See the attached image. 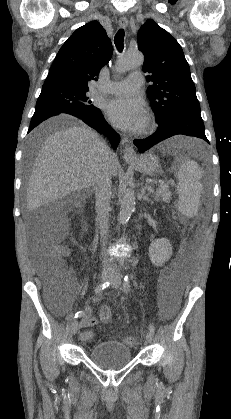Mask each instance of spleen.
I'll return each instance as SVG.
<instances>
[{"mask_svg": "<svg viewBox=\"0 0 231 419\" xmlns=\"http://www.w3.org/2000/svg\"><path fill=\"white\" fill-rule=\"evenodd\" d=\"M179 194L178 208L186 217H193L198 212L199 199L202 192L201 170L198 164L185 158L177 172Z\"/></svg>", "mask_w": 231, "mask_h": 419, "instance_id": "obj_1", "label": "spleen"}]
</instances>
